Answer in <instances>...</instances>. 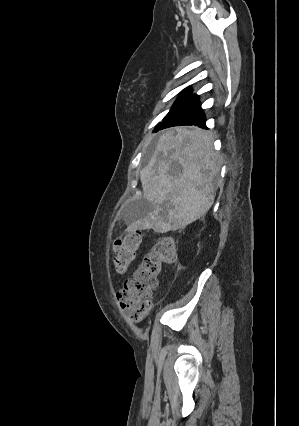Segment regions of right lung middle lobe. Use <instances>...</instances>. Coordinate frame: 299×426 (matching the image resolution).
<instances>
[{
    "label": "right lung middle lobe",
    "instance_id": "1",
    "mask_svg": "<svg viewBox=\"0 0 299 426\" xmlns=\"http://www.w3.org/2000/svg\"><path fill=\"white\" fill-rule=\"evenodd\" d=\"M191 94V91H185V92H183L182 93V95L177 99V101L175 102V104L173 105V107L177 104V103H179L181 100H183L185 97H187L188 95H190Z\"/></svg>",
    "mask_w": 299,
    "mask_h": 426
}]
</instances>
